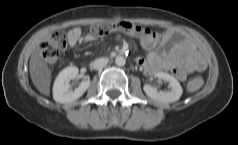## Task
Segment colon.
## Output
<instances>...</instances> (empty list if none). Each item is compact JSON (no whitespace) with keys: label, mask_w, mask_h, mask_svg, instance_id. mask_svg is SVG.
I'll use <instances>...</instances> for the list:
<instances>
[{"label":"colon","mask_w":238,"mask_h":145,"mask_svg":"<svg viewBox=\"0 0 238 145\" xmlns=\"http://www.w3.org/2000/svg\"><path fill=\"white\" fill-rule=\"evenodd\" d=\"M113 32H123L139 38L153 34L148 28H142L127 21H116L93 25L89 30V35L92 37H102ZM66 48V34L62 31H55L42 43L41 54L44 61L49 66H53L61 59ZM202 85L203 80L199 77H195L189 81L188 89L190 91H197Z\"/></svg>","instance_id":"5ec220e1"}]
</instances>
